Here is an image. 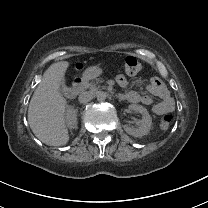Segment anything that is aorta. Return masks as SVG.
Segmentation results:
<instances>
[{
    "instance_id": "1",
    "label": "aorta",
    "mask_w": 208,
    "mask_h": 208,
    "mask_svg": "<svg viewBox=\"0 0 208 208\" xmlns=\"http://www.w3.org/2000/svg\"><path fill=\"white\" fill-rule=\"evenodd\" d=\"M96 100H97L98 103L103 104V103L106 102L107 97H106L105 94L100 93V94L97 95Z\"/></svg>"
}]
</instances>
